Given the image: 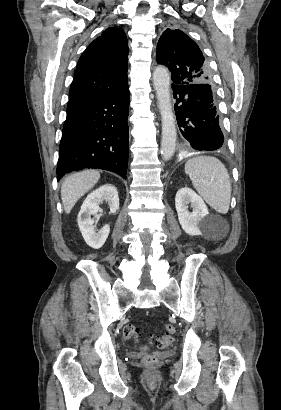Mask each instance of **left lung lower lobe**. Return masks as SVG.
<instances>
[{
	"mask_svg": "<svg viewBox=\"0 0 281 410\" xmlns=\"http://www.w3.org/2000/svg\"><path fill=\"white\" fill-rule=\"evenodd\" d=\"M182 136L195 150L213 151L224 144L210 84L172 85Z\"/></svg>",
	"mask_w": 281,
	"mask_h": 410,
	"instance_id": "obj_1",
	"label": "left lung lower lobe"
}]
</instances>
